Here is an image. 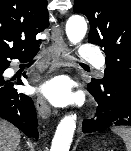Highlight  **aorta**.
Returning a JSON list of instances; mask_svg holds the SVG:
<instances>
[{"label":"aorta","instance_id":"aorta-1","mask_svg":"<svg viewBox=\"0 0 131 151\" xmlns=\"http://www.w3.org/2000/svg\"><path fill=\"white\" fill-rule=\"evenodd\" d=\"M87 24L81 16H72L66 23V34L71 43H79L85 36ZM76 128V115H66L55 131L50 151H69Z\"/></svg>","mask_w":131,"mask_h":151}]
</instances>
